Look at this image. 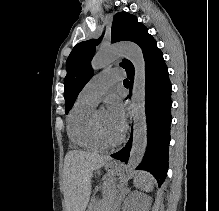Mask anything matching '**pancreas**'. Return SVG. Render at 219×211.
<instances>
[{"mask_svg":"<svg viewBox=\"0 0 219 211\" xmlns=\"http://www.w3.org/2000/svg\"><path fill=\"white\" fill-rule=\"evenodd\" d=\"M111 188L113 186H110ZM116 188L118 186H115ZM105 199L90 200L88 211H119L118 205L120 200H123V195L118 192H111L110 195H105Z\"/></svg>","mask_w":219,"mask_h":211,"instance_id":"cf45deb5","label":"pancreas"}]
</instances>
